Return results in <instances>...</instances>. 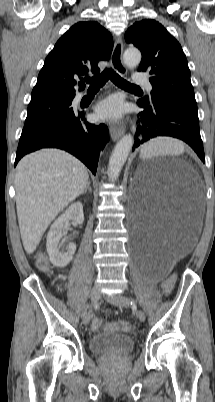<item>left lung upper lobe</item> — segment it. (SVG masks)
<instances>
[{"instance_id": "1", "label": "left lung upper lobe", "mask_w": 215, "mask_h": 402, "mask_svg": "<svg viewBox=\"0 0 215 402\" xmlns=\"http://www.w3.org/2000/svg\"><path fill=\"white\" fill-rule=\"evenodd\" d=\"M125 40L142 53L138 71L151 75V99L172 101L197 111L186 56L178 41L159 22H135L125 33Z\"/></svg>"}]
</instances>
